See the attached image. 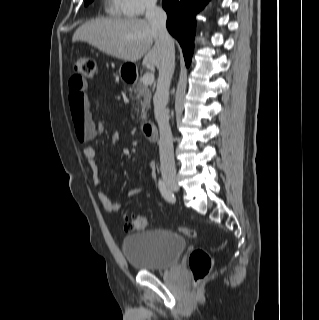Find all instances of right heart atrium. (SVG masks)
<instances>
[{
  "label": "right heart atrium",
  "instance_id": "obj_1",
  "mask_svg": "<svg viewBox=\"0 0 319 320\" xmlns=\"http://www.w3.org/2000/svg\"><path fill=\"white\" fill-rule=\"evenodd\" d=\"M119 10L126 16L138 17L153 9L156 0H115Z\"/></svg>",
  "mask_w": 319,
  "mask_h": 320
}]
</instances>
